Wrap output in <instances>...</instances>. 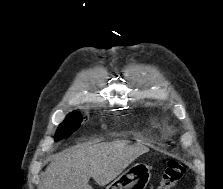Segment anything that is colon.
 I'll return each mask as SVG.
<instances>
[{
	"instance_id": "1",
	"label": "colon",
	"mask_w": 223,
	"mask_h": 189,
	"mask_svg": "<svg viewBox=\"0 0 223 189\" xmlns=\"http://www.w3.org/2000/svg\"><path fill=\"white\" fill-rule=\"evenodd\" d=\"M184 173V166L178 160L170 159L167 162L161 181L155 189H172L181 180Z\"/></svg>"
}]
</instances>
